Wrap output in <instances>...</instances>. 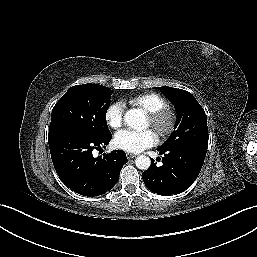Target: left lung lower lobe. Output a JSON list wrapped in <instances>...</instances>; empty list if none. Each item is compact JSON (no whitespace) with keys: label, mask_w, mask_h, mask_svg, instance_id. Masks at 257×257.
<instances>
[{"label":"left lung lower lobe","mask_w":257,"mask_h":257,"mask_svg":"<svg viewBox=\"0 0 257 257\" xmlns=\"http://www.w3.org/2000/svg\"><path fill=\"white\" fill-rule=\"evenodd\" d=\"M157 150L164 154L163 165L157 167L151 159L150 168L142 174L145 185L159 195L184 192L200 173L206 152L194 148Z\"/></svg>","instance_id":"1"}]
</instances>
